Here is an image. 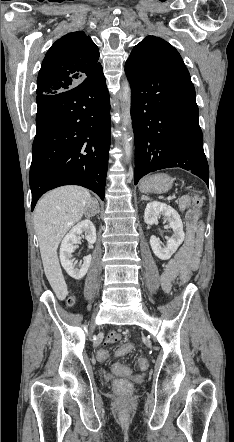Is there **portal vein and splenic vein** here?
<instances>
[{"instance_id": "portal-vein-and-splenic-vein-1", "label": "portal vein and splenic vein", "mask_w": 234, "mask_h": 442, "mask_svg": "<svg viewBox=\"0 0 234 442\" xmlns=\"http://www.w3.org/2000/svg\"><path fill=\"white\" fill-rule=\"evenodd\" d=\"M172 199H174V196H168L167 197V200H172Z\"/></svg>"}]
</instances>
